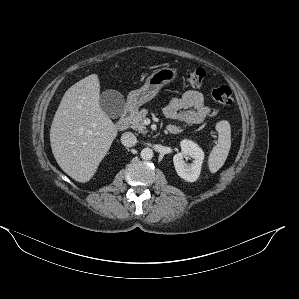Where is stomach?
Returning a JSON list of instances; mask_svg holds the SVG:
<instances>
[{
    "instance_id": "1",
    "label": "stomach",
    "mask_w": 299,
    "mask_h": 299,
    "mask_svg": "<svg viewBox=\"0 0 299 299\" xmlns=\"http://www.w3.org/2000/svg\"><path fill=\"white\" fill-rule=\"evenodd\" d=\"M177 78V70L170 67H161L147 77L144 85L128 95V106L138 109L141 105L152 100L160 89Z\"/></svg>"
}]
</instances>
